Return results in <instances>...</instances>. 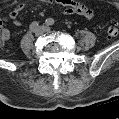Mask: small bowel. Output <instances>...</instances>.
Listing matches in <instances>:
<instances>
[{
	"label": "small bowel",
	"mask_w": 119,
	"mask_h": 119,
	"mask_svg": "<svg viewBox=\"0 0 119 119\" xmlns=\"http://www.w3.org/2000/svg\"><path fill=\"white\" fill-rule=\"evenodd\" d=\"M48 3H54L64 7V13L68 15H81L87 19H92L94 17V11L87 7L85 4L75 1V0H46ZM24 4H18L9 13V18L14 21V24L19 26L21 23L17 20L19 13L23 10ZM9 33L4 30L3 37L8 38Z\"/></svg>",
	"instance_id": "obj_1"
}]
</instances>
